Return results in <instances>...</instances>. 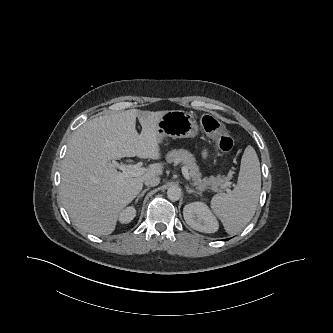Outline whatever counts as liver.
I'll return each mask as SVG.
<instances>
[{
	"mask_svg": "<svg viewBox=\"0 0 333 333\" xmlns=\"http://www.w3.org/2000/svg\"><path fill=\"white\" fill-rule=\"evenodd\" d=\"M166 112L110 113L87 121L73 134L62 163L60 189L63 205L78 228L97 236L111 234L120 212L139 194L145 179L163 174L162 164L154 163L142 175L120 179L110 163L135 156L160 159L157 123Z\"/></svg>",
	"mask_w": 333,
	"mask_h": 333,
	"instance_id": "6515ba94",
	"label": "liver"
}]
</instances>
